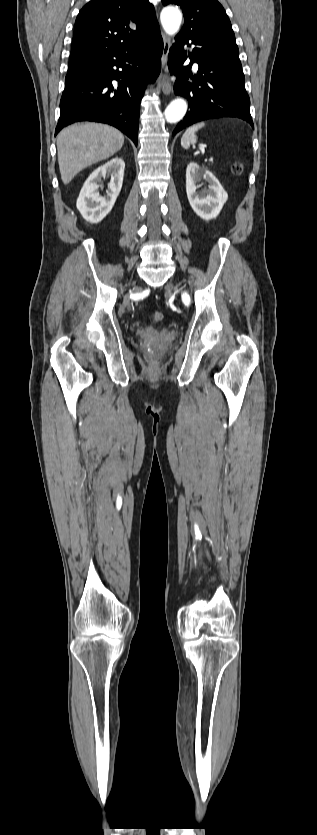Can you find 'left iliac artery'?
Listing matches in <instances>:
<instances>
[{
    "label": "left iliac artery",
    "mask_w": 317,
    "mask_h": 835,
    "mask_svg": "<svg viewBox=\"0 0 317 835\" xmlns=\"http://www.w3.org/2000/svg\"><path fill=\"white\" fill-rule=\"evenodd\" d=\"M183 300H184L185 304H188L189 303V296L187 294H183Z\"/></svg>",
    "instance_id": "obj_1"
}]
</instances>
